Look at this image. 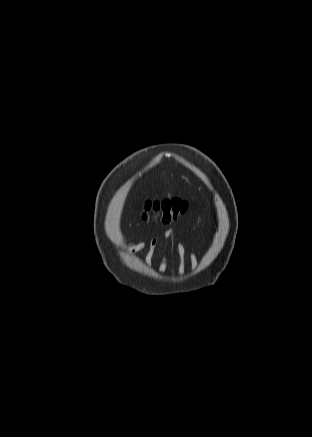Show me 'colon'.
<instances>
[{
	"mask_svg": "<svg viewBox=\"0 0 312 437\" xmlns=\"http://www.w3.org/2000/svg\"><path fill=\"white\" fill-rule=\"evenodd\" d=\"M188 203L179 199H163L147 201L143 218L157 219L163 223H169L186 213Z\"/></svg>",
	"mask_w": 312,
	"mask_h": 437,
	"instance_id": "colon-1",
	"label": "colon"
}]
</instances>
